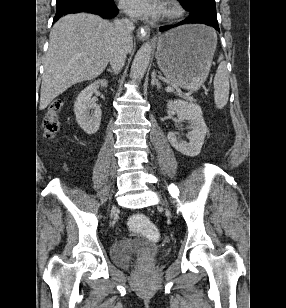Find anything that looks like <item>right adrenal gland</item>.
Here are the masks:
<instances>
[{
	"instance_id": "2a0ac1e0",
	"label": "right adrenal gland",
	"mask_w": 286,
	"mask_h": 308,
	"mask_svg": "<svg viewBox=\"0 0 286 308\" xmlns=\"http://www.w3.org/2000/svg\"><path fill=\"white\" fill-rule=\"evenodd\" d=\"M108 72L113 73V71L111 69H107Z\"/></svg>"
}]
</instances>
